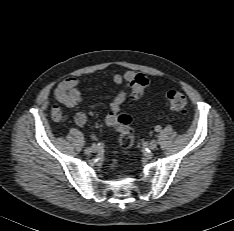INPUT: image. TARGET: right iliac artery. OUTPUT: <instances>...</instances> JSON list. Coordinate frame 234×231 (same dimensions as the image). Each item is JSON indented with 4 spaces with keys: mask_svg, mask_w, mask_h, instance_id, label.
I'll use <instances>...</instances> for the list:
<instances>
[{
    "mask_svg": "<svg viewBox=\"0 0 234 231\" xmlns=\"http://www.w3.org/2000/svg\"><path fill=\"white\" fill-rule=\"evenodd\" d=\"M99 148L100 146H99V144L97 145V144H95V143H93L92 145H91V148Z\"/></svg>",
    "mask_w": 234,
    "mask_h": 231,
    "instance_id": "82829eb1",
    "label": "right iliac artery"
}]
</instances>
